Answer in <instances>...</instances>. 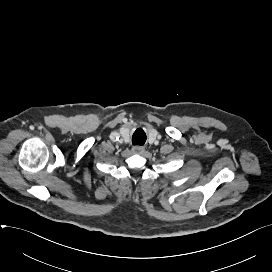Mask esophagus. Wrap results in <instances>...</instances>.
Returning <instances> with one entry per match:
<instances>
[{"mask_svg": "<svg viewBox=\"0 0 272 272\" xmlns=\"http://www.w3.org/2000/svg\"><path fill=\"white\" fill-rule=\"evenodd\" d=\"M132 151H133L134 153H136V154H142V153L145 151V149H144V147H142V146H134V147L132 148Z\"/></svg>", "mask_w": 272, "mask_h": 272, "instance_id": "1", "label": "esophagus"}]
</instances>
